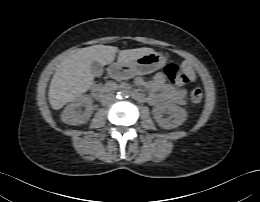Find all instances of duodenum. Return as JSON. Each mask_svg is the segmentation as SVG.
<instances>
[{
	"label": "duodenum",
	"mask_w": 260,
	"mask_h": 202,
	"mask_svg": "<svg viewBox=\"0 0 260 202\" xmlns=\"http://www.w3.org/2000/svg\"><path fill=\"white\" fill-rule=\"evenodd\" d=\"M122 73H123V70H122V68H120V67L113 66V67H111V69H110V74H111L112 76H114V77L120 76V75H122ZM92 92H94V94H95L97 97H101V96L103 95V92H102L100 89H98L97 87H93V88H92ZM132 95H133V97L136 98V99H142V94L139 93V92L133 91V92H132Z\"/></svg>",
	"instance_id": "410a0bca"
}]
</instances>
